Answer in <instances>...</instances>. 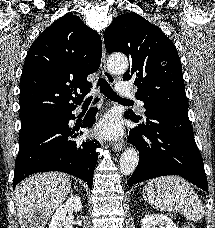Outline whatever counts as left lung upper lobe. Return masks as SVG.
I'll return each mask as SVG.
<instances>
[{
	"label": "left lung upper lobe",
	"instance_id": "obj_1",
	"mask_svg": "<svg viewBox=\"0 0 215 228\" xmlns=\"http://www.w3.org/2000/svg\"><path fill=\"white\" fill-rule=\"evenodd\" d=\"M104 43L109 53L122 52L130 59L123 79L135 78L136 97L144 102L145 112L156 108L188 109L176 47L158 27L136 13H124L106 29ZM126 114L135 122L142 119L132 111Z\"/></svg>",
	"mask_w": 215,
	"mask_h": 228
}]
</instances>
